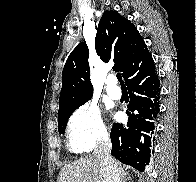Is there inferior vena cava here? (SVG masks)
Returning a JSON list of instances; mask_svg holds the SVG:
<instances>
[{
	"label": "inferior vena cava",
	"mask_w": 196,
	"mask_h": 182,
	"mask_svg": "<svg viewBox=\"0 0 196 182\" xmlns=\"http://www.w3.org/2000/svg\"><path fill=\"white\" fill-rule=\"evenodd\" d=\"M112 144L108 135H103L94 150V156L100 161L103 182H121L118 166L111 156Z\"/></svg>",
	"instance_id": "inferior-vena-cava-1"
}]
</instances>
